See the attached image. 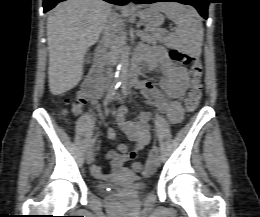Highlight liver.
<instances>
[{
    "label": "liver",
    "mask_w": 260,
    "mask_h": 217,
    "mask_svg": "<svg viewBox=\"0 0 260 217\" xmlns=\"http://www.w3.org/2000/svg\"><path fill=\"white\" fill-rule=\"evenodd\" d=\"M111 5L103 0H67L48 15L49 89L63 94L82 79L83 58L103 30Z\"/></svg>",
    "instance_id": "obj_1"
}]
</instances>
